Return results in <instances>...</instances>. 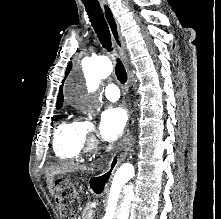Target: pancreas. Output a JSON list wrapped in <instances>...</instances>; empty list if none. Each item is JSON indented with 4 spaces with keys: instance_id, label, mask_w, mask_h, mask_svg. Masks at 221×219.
I'll use <instances>...</instances> for the list:
<instances>
[{
    "instance_id": "1",
    "label": "pancreas",
    "mask_w": 221,
    "mask_h": 219,
    "mask_svg": "<svg viewBox=\"0 0 221 219\" xmlns=\"http://www.w3.org/2000/svg\"><path fill=\"white\" fill-rule=\"evenodd\" d=\"M93 214H94L93 209H92L89 205H87V206L83 209L82 219H92V218H93Z\"/></svg>"
}]
</instances>
